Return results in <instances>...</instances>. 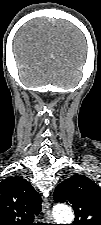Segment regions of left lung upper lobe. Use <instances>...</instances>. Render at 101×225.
Returning a JSON list of instances; mask_svg holds the SVG:
<instances>
[{"instance_id": "left-lung-upper-lobe-1", "label": "left lung upper lobe", "mask_w": 101, "mask_h": 225, "mask_svg": "<svg viewBox=\"0 0 101 225\" xmlns=\"http://www.w3.org/2000/svg\"><path fill=\"white\" fill-rule=\"evenodd\" d=\"M53 199L73 207V225H101V189L88 177L74 175L64 180L56 187Z\"/></svg>"}]
</instances>
